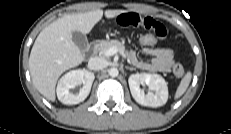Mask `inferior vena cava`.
<instances>
[{
  "mask_svg": "<svg viewBox=\"0 0 231 134\" xmlns=\"http://www.w3.org/2000/svg\"><path fill=\"white\" fill-rule=\"evenodd\" d=\"M106 66L107 61L100 57H93L88 61V68L93 71L104 69Z\"/></svg>",
  "mask_w": 231,
  "mask_h": 134,
  "instance_id": "1",
  "label": "inferior vena cava"
}]
</instances>
